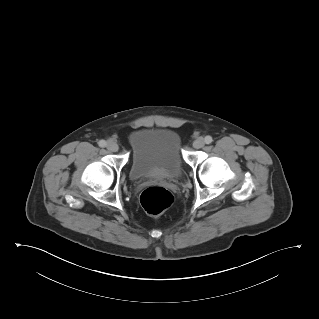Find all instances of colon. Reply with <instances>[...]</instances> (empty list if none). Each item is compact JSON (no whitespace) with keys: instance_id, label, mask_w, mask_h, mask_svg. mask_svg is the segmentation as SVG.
<instances>
[{"instance_id":"5ec220e1","label":"colon","mask_w":319,"mask_h":319,"mask_svg":"<svg viewBox=\"0 0 319 319\" xmlns=\"http://www.w3.org/2000/svg\"><path fill=\"white\" fill-rule=\"evenodd\" d=\"M174 202L170 191L161 186H150L140 195L143 209L153 217L162 215Z\"/></svg>"}]
</instances>
